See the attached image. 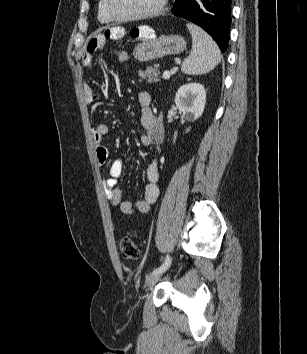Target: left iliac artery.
I'll use <instances>...</instances> for the list:
<instances>
[{
	"instance_id": "left-iliac-artery-1",
	"label": "left iliac artery",
	"mask_w": 307,
	"mask_h": 354,
	"mask_svg": "<svg viewBox=\"0 0 307 354\" xmlns=\"http://www.w3.org/2000/svg\"><path fill=\"white\" fill-rule=\"evenodd\" d=\"M170 265H171V258L169 255H167L164 260V263L160 267L154 269L152 273H162L166 271Z\"/></svg>"
}]
</instances>
